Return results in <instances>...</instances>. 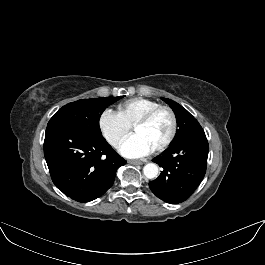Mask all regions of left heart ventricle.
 <instances>
[{
	"instance_id": "obj_1",
	"label": "left heart ventricle",
	"mask_w": 265,
	"mask_h": 265,
	"mask_svg": "<svg viewBox=\"0 0 265 265\" xmlns=\"http://www.w3.org/2000/svg\"><path fill=\"white\" fill-rule=\"evenodd\" d=\"M170 128V116L166 112H160L148 123L135 127L134 132L141 135L153 150L167 138Z\"/></svg>"
}]
</instances>
